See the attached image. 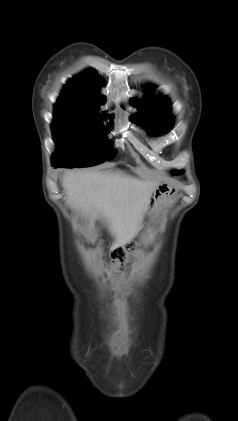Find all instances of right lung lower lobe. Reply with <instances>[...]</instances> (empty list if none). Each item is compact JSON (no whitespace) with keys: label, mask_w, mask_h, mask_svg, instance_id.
<instances>
[{"label":"right lung lower lobe","mask_w":238,"mask_h":421,"mask_svg":"<svg viewBox=\"0 0 238 421\" xmlns=\"http://www.w3.org/2000/svg\"><path fill=\"white\" fill-rule=\"evenodd\" d=\"M53 166L56 168L63 167L61 164H56V163H53Z\"/></svg>","instance_id":"98d812e1"}]
</instances>
